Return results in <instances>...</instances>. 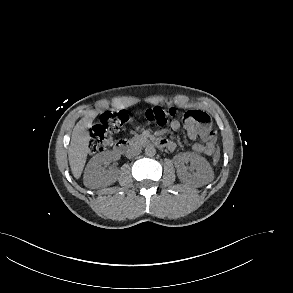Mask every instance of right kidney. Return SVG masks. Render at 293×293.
<instances>
[{
    "label": "right kidney",
    "mask_w": 293,
    "mask_h": 293,
    "mask_svg": "<svg viewBox=\"0 0 293 293\" xmlns=\"http://www.w3.org/2000/svg\"><path fill=\"white\" fill-rule=\"evenodd\" d=\"M109 161L107 154L95 155L87 164L84 174V185L88 188H98L108 186L116 182L117 172L114 170L106 171L103 164Z\"/></svg>",
    "instance_id": "ca27d5eb"
}]
</instances>
